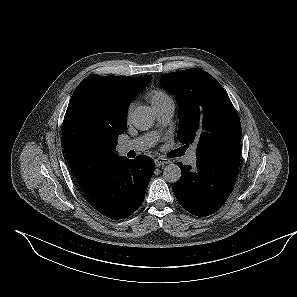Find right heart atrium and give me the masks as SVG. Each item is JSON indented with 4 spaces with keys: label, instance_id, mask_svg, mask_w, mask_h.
<instances>
[{
    "label": "right heart atrium",
    "instance_id": "1",
    "mask_svg": "<svg viewBox=\"0 0 297 297\" xmlns=\"http://www.w3.org/2000/svg\"><path fill=\"white\" fill-rule=\"evenodd\" d=\"M130 111H131V107L129 108L128 114H130Z\"/></svg>",
    "mask_w": 297,
    "mask_h": 297
}]
</instances>
